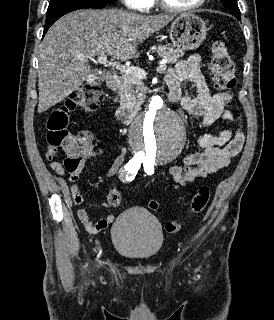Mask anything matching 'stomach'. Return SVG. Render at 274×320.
Segmentation results:
<instances>
[{
    "mask_svg": "<svg viewBox=\"0 0 274 320\" xmlns=\"http://www.w3.org/2000/svg\"><path fill=\"white\" fill-rule=\"evenodd\" d=\"M207 32L204 20L195 14H180L169 30L170 40L179 50H196L206 40Z\"/></svg>",
    "mask_w": 274,
    "mask_h": 320,
    "instance_id": "obj_1",
    "label": "stomach"
}]
</instances>
